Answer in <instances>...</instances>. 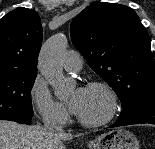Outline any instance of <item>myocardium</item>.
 <instances>
[{"label": "myocardium", "mask_w": 155, "mask_h": 149, "mask_svg": "<svg viewBox=\"0 0 155 149\" xmlns=\"http://www.w3.org/2000/svg\"><path fill=\"white\" fill-rule=\"evenodd\" d=\"M87 88H91L97 91H100L105 95L108 100V111L106 115L98 120H86L79 115H77V120L84 126L88 127H98L109 123L116 115L118 106H119V98L115 90L108 85L107 83L101 81H93L88 84Z\"/></svg>", "instance_id": "1"}]
</instances>
